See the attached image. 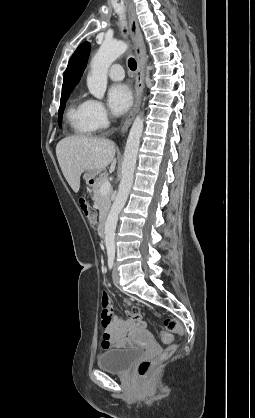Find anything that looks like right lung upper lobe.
<instances>
[{"instance_id":"obj_1","label":"right lung upper lobe","mask_w":255,"mask_h":418,"mask_svg":"<svg viewBox=\"0 0 255 418\" xmlns=\"http://www.w3.org/2000/svg\"><path fill=\"white\" fill-rule=\"evenodd\" d=\"M90 53V44L88 42L82 43L71 56L67 69L64 73V81L62 85V92L73 90L79 82Z\"/></svg>"}]
</instances>
